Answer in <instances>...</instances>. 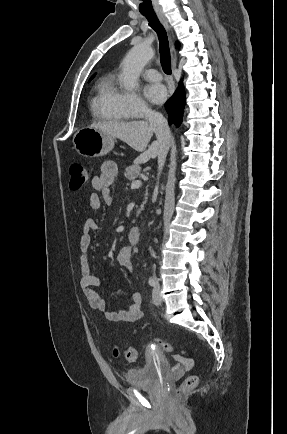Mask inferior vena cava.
I'll use <instances>...</instances> for the list:
<instances>
[{
	"label": "inferior vena cava",
	"instance_id": "602c4592",
	"mask_svg": "<svg viewBox=\"0 0 287 434\" xmlns=\"http://www.w3.org/2000/svg\"><path fill=\"white\" fill-rule=\"evenodd\" d=\"M145 119L154 128L159 143L158 152V176L160 175L163 166L165 164L166 156L169 150V142L171 139V133L167 120L159 112L146 109L144 111ZM158 191V185L155 187V192Z\"/></svg>",
	"mask_w": 287,
	"mask_h": 434
}]
</instances>
